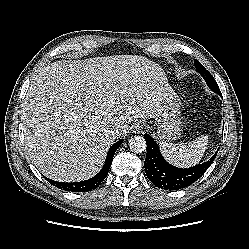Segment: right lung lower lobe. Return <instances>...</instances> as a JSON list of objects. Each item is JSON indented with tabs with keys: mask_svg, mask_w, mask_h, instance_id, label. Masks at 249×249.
<instances>
[{
	"mask_svg": "<svg viewBox=\"0 0 249 249\" xmlns=\"http://www.w3.org/2000/svg\"><path fill=\"white\" fill-rule=\"evenodd\" d=\"M122 142L123 140L121 139L120 141L116 142L109 148V151H108V154H107V157H106V160H105V163L102 169L94 177L88 180H85V181L73 182V183L72 182L71 183L57 182V181L50 180L48 178H46V180L52 185L60 189L67 190V191L86 192V191L93 190L106 178L108 171L110 169L111 163H112L113 156L116 150L118 149V147L122 144Z\"/></svg>",
	"mask_w": 249,
	"mask_h": 249,
	"instance_id": "98d812e1",
	"label": "right lung lower lobe"
}]
</instances>
